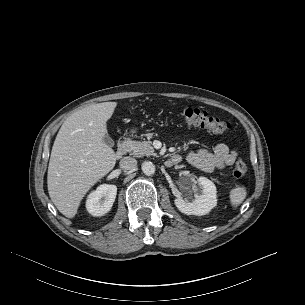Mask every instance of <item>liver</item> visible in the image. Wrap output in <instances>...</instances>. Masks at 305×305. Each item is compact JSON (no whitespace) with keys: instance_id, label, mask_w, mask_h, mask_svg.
I'll return each instance as SVG.
<instances>
[{"instance_id":"6515ba94","label":"liver","mask_w":305,"mask_h":305,"mask_svg":"<svg viewBox=\"0 0 305 305\" xmlns=\"http://www.w3.org/2000/svg\"><path fill=\"white\" fill-rule=\"evenodd\" d=\"M117 102L87 106L62 124L47 174L49 196L67 218L77 214L85 194L115 166L114 150L103 142Z\"/></svg>"}]
</instances>
